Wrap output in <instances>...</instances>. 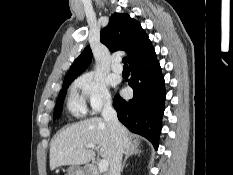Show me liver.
I'll use <instances>...</instances> for the list:
<instances>
[{"instance_id": "liver-1", "label": "liver", "mask_w": 233, "mask_h": 175, "mask_svg": "<svg viewBox=\"0 0 233 175\" xmlns=\"http://www.w3.org/2000/svg\"><path fill=\"white\" fill-rule=\"evenodd\" d=\"M121 135L125 153L138 145L137 140L131 141L129 131L122 125ZM88 144L97 145L108 165L112 163L115 145L110 127L102 118L94 117L67 127L54 138L50 146V169L89 163L95 152L86 148Z\"/></svg>"}]
</instances>
